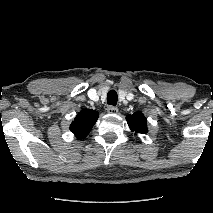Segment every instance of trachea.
<instances>
[{"instance_id": "1", "label": "trachea", "mask_w": 213, "mask_h": 213, "mask_svg": "<svg viewBox=\"0 0 213 213\" xmlns=\"http://www.w3.org/2000/svg\"><path fill=\"white\" fill-rule=\"evenodd\" d=\"M117 100H118L117 92L115 90H110L107 93V103L109 105L115 106L117 104Z\"/></svg>"}]
</instances>
